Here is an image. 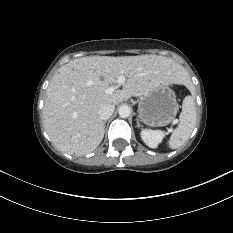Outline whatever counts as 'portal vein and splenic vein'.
Wrapping results in <instances>:
<instances>
[{"label":"portal vein and splenic vein","instance_id":"18ae733b","mask_svg":"<svg viewBox=\"0 0 233 233\" xmlns=\"http://www.w3.org/2000/svg\"><path fill=\"white\" fill-rule=\"evenodd\" d=\"M125 80H126L125 76H124V75H120V76L118 77V79H117V85H113V86L108 87V88L105 90V93H106V94H111V93H113L119 86L124 85Z\"/></svg>","mask_w":233,"mask_h":233}]
</instances>
